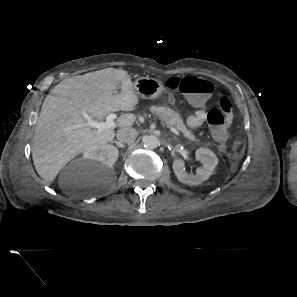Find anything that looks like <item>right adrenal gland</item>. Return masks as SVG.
<instances>
[{"label":"right adrenal gland","mask_w":297,"mask_h":297,"mask_svg":"<svg viewBox=\"0 0 297 297\" xmlns=\"http://www.w3.org/2000/svg\"><path fill=\"white\" fill-rule=\"evenodd\" d=\"M111 143H115L120 148H124L125 147L124 144H122V143H120V142H118L116 140L111 141Z\"/></svg>","instance_id":"2a0ac1e0"}]
</instances>
